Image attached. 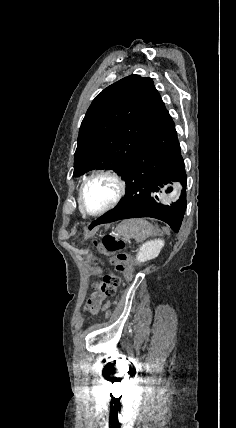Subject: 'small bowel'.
Segmentation results:
<instances>
[{
  "label": "small bowel",
  "mask_w": 236,
  "mask_h": 428,
  "mask_svg": "<svg viewBox=\"0 0 236 428\" xmlns=\"http://www.w3.org/2000/svg\"><path fill=\"white\" fill-rule=\"evenodd\" d=\"M101 301H103V297H102V296H100V297H99V303H100Z\"/></svg>",
  "instance_id": "small-bowel-1"
}]
</instances>
